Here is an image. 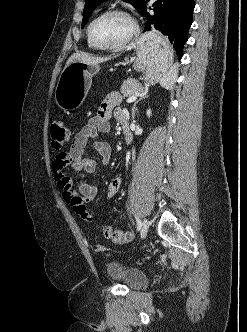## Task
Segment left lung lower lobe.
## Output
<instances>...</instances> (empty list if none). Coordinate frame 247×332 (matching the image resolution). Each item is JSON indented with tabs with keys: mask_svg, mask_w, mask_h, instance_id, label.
Here are the masks:
<instances>
[{
	"mask_svg": "<svg viewBox=\"0 0 247 332\" xmlns=\"http://www.w3.org/2000/svg\"><path fill=\"white\" fill-rule=\"evenodd\" d=\"M147 1L149 0L145 1L141 11L147 20L144 30L155 28L167 35L178 56L181 57L193 21L194 0H156L152 5L153 14L147 12Z\"/></svg>",
	"mask_w": 247,
	"mask_h": 332,
	"instance_id": "obj_1",
	"label": "left lung lower lobe"
}]
</instances>
